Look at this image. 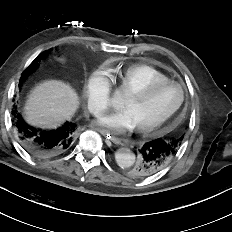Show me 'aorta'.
Here are the masks:
<instances>
[{"label": "aorta", "instance_id": "aorta-1", "mask_svg": "<svg viewBox=\"0 0 232 232\" xmlns=\"http://www.w3.org/2000/svg\"><path fill=\"white\" fill-rule=\"evenodd\" d=\"M112 104L116 108L121 106V98L118 92H115ZM135 158V154L128 148H120L115 153L116 162L121 168L131 167L135 162Z\"/></svg>", "mask_w": 232, "mask_h": 232}]
</instances>
